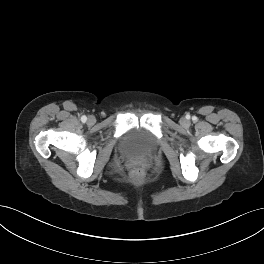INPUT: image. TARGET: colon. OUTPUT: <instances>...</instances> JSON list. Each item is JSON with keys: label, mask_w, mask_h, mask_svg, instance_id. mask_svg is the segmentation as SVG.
Masks as SVG:
<instances>
[{"label": "colon", "mask_w": 264, "mask_h": 264, "mask_svg": "<svg viewBox=\"0 0 264 264\" xmlns=\"http://www.w3.org/2000/svg\"><path fill=\"white\" fill-rule=\"evenodd\" d=\"M133 177H140L141 176V170L140 169H134L132 172Z\"/></svg>", "instance_id": "obj_1"}]
</instances>
